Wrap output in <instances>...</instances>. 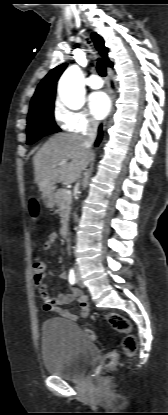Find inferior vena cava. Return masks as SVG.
<instances>
[{
  "label": "inferior vena cava",
  "instance_id": "obj_1",
  "mask_svg": "<svg viewBox=\"0 0 168 415\" xmlns=\"http://www.w3.org/2000/svg\"><path fill=\"white\" fill-rule=\"evenodd\" d=\"M97 129H98V123L97 122H91L88 125L87 132L84 136V145L86 148L90 149L96 139L97 135Z\"/></svg>",
  "mask_w": 168,
  "mask_h": 415
}]
</instances>
